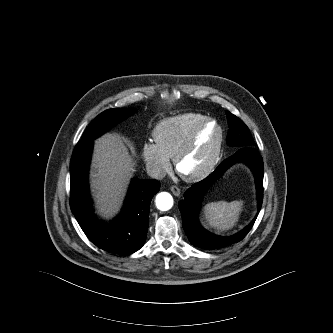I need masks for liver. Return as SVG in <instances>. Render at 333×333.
I'll return each mask as SVG.
<instances>
[{
	"label": "liver",
	"instance_id": "obj_1",
	"mask_svg": "<svg viewBox=\"0 0 333 333\" xmlns=\"http://www.w3.org/2000/svg\"><path fill=\"white\" fill-rule=\"evenodd\" d=\"M134 166L121 137L108 133L95 141L91 176L100 212L108 215L118 209Z\"/></svg>",
	"mask_w": 333,
	"mask_h": 333
}]
</instances>
